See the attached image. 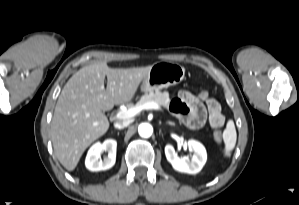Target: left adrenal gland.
<instances>
[{
    "label": "left adrenal gland",
    "instance_id": "obj_1",
    "mask_svg": "<svg viewBox=\"0 0 299 205\" xmlns=\"http://www.w3.org/2000/svg\"><path fill=\"white\" fill-rule=\"evenodd\" d=\"M167 124L170 125V126H175V124L173 122H170V121L167 122Z\"/></svg>",
    "mask_w": 299,
    "mask_h": 205
}]
</instances>
